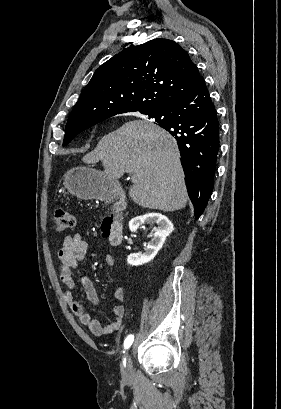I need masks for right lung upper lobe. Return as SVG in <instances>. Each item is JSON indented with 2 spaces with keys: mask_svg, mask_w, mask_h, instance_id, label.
I'll use <instances>...</instances> for the list:
<instances>
[{
  "mask_svg": "<svg viewBox=\"0 0 281 409\" xmlns=\"http://www.w3.org/2000/svg\"><path fill=\"white\" fill-rule=\"evenodd\" d=\"M202 77L180 45L154 39L101 65L82 91L67 127L98 123L125 112H152L189 93Z\"/></svg>",
  "mask_w": 281,
  "mask_h": 409,
  "instance_id": "1",
  "label": "right lung upper lobe"
}]
</instances>
